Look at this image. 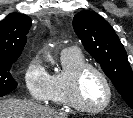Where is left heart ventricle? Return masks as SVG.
Returning a JSON list of instances; mask_svg holds the SVG:
<instances>
[{
  "mask_svg": "<svg viewBox=\"0 0 133 118\" xmlns=\"http://www.w3.org/2000/svg\"><path fill=\"white\" fill-rule=\"evenodd\" d=\"M79 94L82 102L88 107L101 106L107 98L106 86L93 70H87L83 74Z\"/></svg>",
  "mask_w": 133,
  "mask_h": 118,
  "instance_id": "left-heart-ventricle-1",
  "label": "left heart ventricle"
}]
</instances>
